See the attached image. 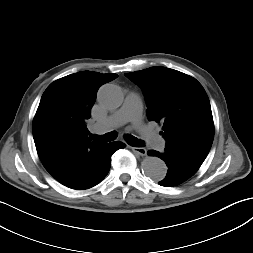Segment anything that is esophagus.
Instances as JSON below:
<instances>
[{
	"instance_id": "1",
	"label": "esophagus",
	"mask_w": 253,
	"mask_h": 253,
	"mask_svg": "<svg viewBox=\"0 0 253 253\" xmlns=\"http://www.w3.org/2000/svg\"><path fill=\"white\" fill-rule=\"evenodd\" d=\"M131 149L140 156H145L147 153V150L143 147H131Z\"/></svg>"
}]
</instances>
